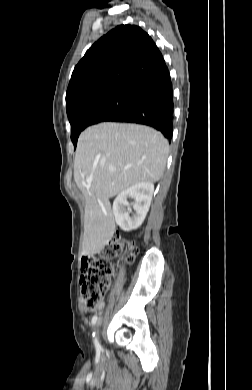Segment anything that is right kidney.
I'll return each mask as SVG.
<instances>
[{"label":"right kidney","instance_id":"obj_1","mask_svg":"<svg viewBox=\"0 0 252 390\" xmlns=\"http://www.w3.org/2000/svg\"><path fill=\"white\" fill-rule=\"evenodd\" d=\"M154 184L141 182L122 191L113 202V214L117 225L123 231L135 230L141 226L149 210ZM128 198H133L135 203L130 205ZM131 206L134 210L130 216Z\"/></svg>","mask_w":252,"mask_h":390}]
</instances>
